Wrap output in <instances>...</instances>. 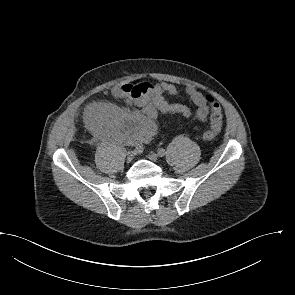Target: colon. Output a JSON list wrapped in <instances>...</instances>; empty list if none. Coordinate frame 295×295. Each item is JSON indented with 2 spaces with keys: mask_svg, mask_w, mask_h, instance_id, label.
Listing matches in <instances>:
<instances>
[{
  "mask_svg": "<svg viewBox=\"0 0 295 295\" xmlns=\"http://www.w3.org/2000/svg\"><path fill=\"white\" fill-rule=\"evenodd\" d=\"M208 100L211 105V120L219 121L222 118L221 108L217 102L213 100L211 96H208ZM215 136L211 132H206L204 138L206 140H212Z\"/></svg>",
  "mask_w": 295,
  "mask_h": 295,
  "instance_id": "5ec220e1",
  "label": "colon"
}]
</instances>
